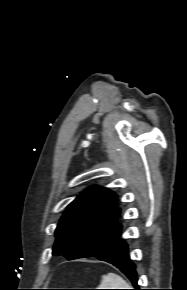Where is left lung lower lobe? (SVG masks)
<instances>
[{"label":"left lung lower lobe","mask_w":187,"mask_h":290,"mask_svg":"<svg viewBox=\"0 0 187 290\" xmlns=\"http://www.w3.org/2000/svg\"><path fill=\"white\" fill-rule=\"evenodd\" d=\"M121 228L120 225L106 243L92 256L116 266L129 278L135 290H140L137 284L135 265L130 261L128 255L127 244L120 238Z\"/></svg>","instance_id":"obj_1"}]
</instances>
